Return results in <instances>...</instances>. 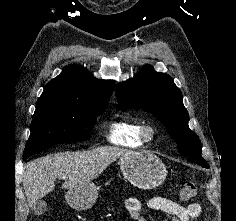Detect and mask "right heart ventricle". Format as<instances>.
Returning a JSON list of instances; mask_svg holds the SVG:
<instances>
[{
    "mask_svg": "<svg viewBox=\"0 0 236 221\" xmlns=\"http://www.w3.org/2000/svg\"><path fill=\"white\" fill-rule=\"evenodd\" d=\"M143 123L133 118L115 119L109 124L107 138L118 146L126 148H141L144 141L141 138Z\"/></svg>",
    "mask_w": 236,
    "mask_h": 221,
    "instance_id": "1",
    "label": "right heart ventricle"
}]
</instances>
